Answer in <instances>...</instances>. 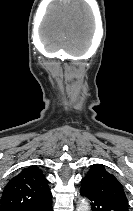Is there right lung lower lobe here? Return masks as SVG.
Returning a JSON list of instances; mask_svg holds the SVG:
<instances>
[{
  "label": "right lung lower lobe",
  "mask_w": 133,
  "mask_h": 211,
  "mask_svg": "<svg viewBox=\"0 0 133 211\" xmlns=\"http://www.w3.org/2000/svg\"><path fill=\"white\" fill-rule=\"evenodd\" d=\"M51 199L52 196L48 200L30 207L27 211H52Z\"/></svg>",
  "instance_id": "obj_1"
}]
</instances>
